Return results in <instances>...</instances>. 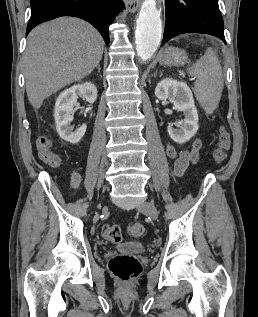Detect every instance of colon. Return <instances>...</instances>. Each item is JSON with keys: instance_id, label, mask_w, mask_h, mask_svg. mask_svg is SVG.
I'll return each instance as SVG.
<instances>
[{"instance_id": "1", "label": "colon", "mask_w": 258, "mask_h": 317, "mask_svg": "<svg viewBox=\"0 0 258 317\" xmlns=\"http://www.w3.org/2000/svg\"><path fill=\"white\" fill-rule=\"evenodd\" d=\"M230 146V133L225 127H222L219 130L218 143L213 150V159L216 163H222L226 159ZM39 157L50 166H56L60 162L59 155L54 151L43 150L40 152ZM102 232L103 236L113 243H119L122 240L123 233L119 225H106L103 227ZM144 232L143 225L137 222L129 223L126 227L127 235L134 239L141 238ZM108 268L115 278L124 283L135 280L142 271L141 263L136 257L122 254L112 256L109 260Z\"/></svg>"}]
</instances>
